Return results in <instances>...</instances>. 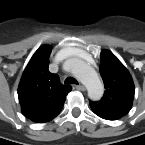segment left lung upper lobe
<instances>
[{
	"mask_svg": "<svg viewBox=\"0 0 145 145\" xmlns=\"http://www.w3.org/2000/svg\"><path fill=\"white\" fill-rule=\"evenodd\" d=\"M100 73L106 91L101 101H90V107L101 118L117 120L132 107L135 92L132 77L113 53L107 50L101 52Z\"/></svg>",
	"mask_w": 145,
	"mask_h": 145,
	"instance_id": "obj_1",
	"label": "left lung upper lobe"
}]
</instances>
